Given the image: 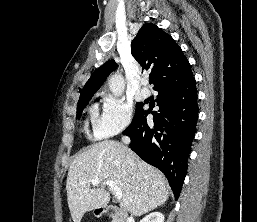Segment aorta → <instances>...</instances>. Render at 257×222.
Masks as SVG:
<instances>
[{"mask_svg": "<svg viewBox=\"0 0 257 222\" xmlns=\"http://www.w3.org/2000/svg\"><path fill=\"white\" fill-rule=\"evenodd\" d=\"M109 88L113 95L119 97L125 89V82L120 74H113L109 79Z\"/></svg>", "mask_w": 257, "mask_h": 222, "instance_id": "obj_1", "label": "aorta"}]
</instances>
